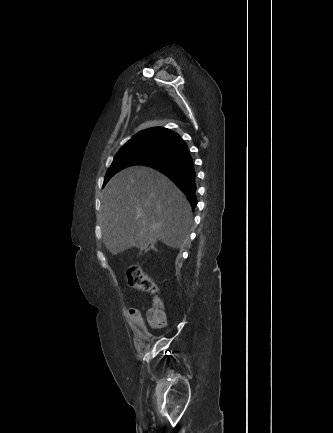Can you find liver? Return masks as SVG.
<instances>
[{
  "mask_svg": "<svg viewBox=\"0 0 333 433\" xmlns=\"http://www.w3.org/2000/svg\"><path fill=\"white\" fill-rule=\"evenodd\" d=\"M191 217V206L181 190L149 167L123 169L102 192L99 223L112 255L133 246L145 250L158 240L179 248L187 239Z\"/></svg>",
  "mask_w": 333,
  "mask_h": 433,
  "instance_id": "obj_1",
  "label": "liver"
}]
</instances>
